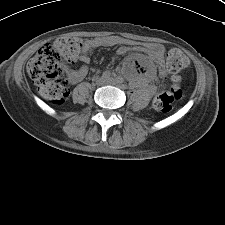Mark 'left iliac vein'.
Segmentation results:
<instances>
[{
  "label": "left iliac vein",
  "instance_id": "1",
  "mask_svg": "<svg viewBox=\"0 0 225 225\" xmlns=\"http://www.w3.org/2000/svg\"><path fill=\"white\" fill-rule=\"evenodd\" d=\"M106 82L109 83V84H116V83H118V82H117V79H114V78H108V79L106 80Z\"/></svg>",
  "mask_w": 225,
  "mask_h": 225
}]
</instances>
